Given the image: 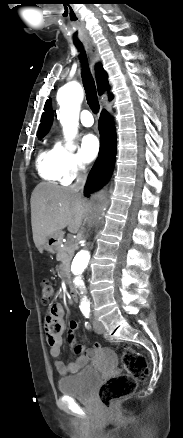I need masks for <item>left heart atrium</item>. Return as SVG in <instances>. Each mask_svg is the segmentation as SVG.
<instances>
[{
    "mask_svg": "<svg viewBox=\"0 0 183 438\" xmlns=\"http://www.w3.org/2000/svg\"><path fill=\"white\" fill-rule=\"evenodd\" d=\"M81 150L86 161H93L100 150V142L97 136L94 134H87L82 140Z\"/></svg>",
    "mask_w": 183,
    "mask_h": 438,
    "instance_id": "39dd6f15",
    "label": "left heart atrium"
}]
</instances>
